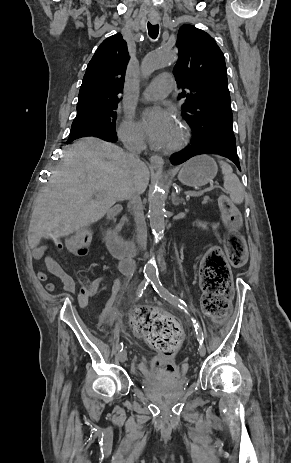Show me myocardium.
<instances>
[{"label": "myocardium", "mask_w": 291, "mask_h": 463, "mask_svg": "<svg viewBox=\"0 0 291 463\" xmlns=\"http://www.w3.org/2000/svg\"><path fill=\"white\" fill-rule=\"evenodd\" d=\"M177 131H178V134H177L176 140L170 145H167L166 147V150L169 152H174V151H178L182 149L189 141L190 131L185 124L178 123Z\"/></svg>", "instance_id": "1"}]
</instances>
